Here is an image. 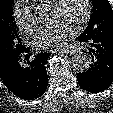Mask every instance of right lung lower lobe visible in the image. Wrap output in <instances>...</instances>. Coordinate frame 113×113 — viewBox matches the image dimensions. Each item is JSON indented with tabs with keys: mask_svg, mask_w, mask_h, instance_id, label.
Returning a JSON list of instances; mask_svg holds the SVG:
<instances>
[{
	"mask_svg": "<svg viewBox=\"0 0 113 113\" xmlns=\"http://www.w3.org/2000/svg\"><path fill=\"white\" fill-rule=\"evenodd\" d=\"M28 48L16 55L0 69V78L4 85L16 96L24 100H34L42 96L48 86L45 64L49 53L37 54L30 58Z\"/></svg>",
	"mask_w": 113,
	"mask_h": 113,
	"instance_id": "right-lung-lower-lobe-1",
	"label": "right lung lower lobe"
}]
</instances>
